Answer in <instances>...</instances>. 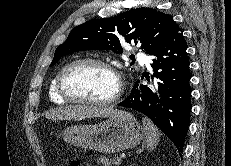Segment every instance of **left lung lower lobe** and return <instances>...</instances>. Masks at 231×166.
Masks as SVG:
<instances>
[{"mask_svg": "<svg viewBox=\"0 0 231 166\" xmlns=\"http://www.w3.org/2000/svg\"><path fill=\"white\" fill-rule=\"evenodd\" d=\"M187 46L177 26L150 55L153 56L152 85L137 80L130 95L119 106L149 117L182 153L192 108ZM150 81L149 78H147Z\"/></svg>", "mask_w": 231, "mask_h": 166, "instance_id": "left-lung-lower-lobe-1", "label": "left lung lower lobe"}]
</instances>
